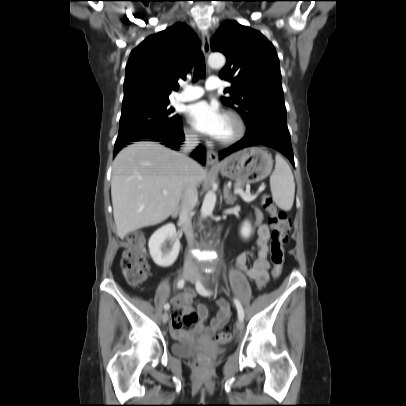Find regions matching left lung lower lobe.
Here are the masks:
<instances>
[{"label": "left lung lower lobe", "instance_id": "left-lung-lower-lobe-1", "mask_svg": "<svg viewBox=\"0 0 406 406\" xmlns=\"http://www.w3.org/2000/svg\"><path fill=\"white\" fill-rule=\"evenodd\" d=\"M253 145H265L283 153L294 165L293 151L288 128L275 124H261L247 128L245 137L231 147L219 152L221 158Z\"/></svg>", "mask_w": 406, "mask_h": 406}]
</instances>
